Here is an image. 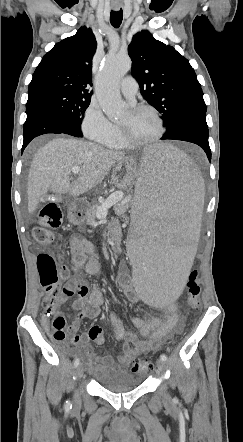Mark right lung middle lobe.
<instances>
[{
    "instance_id": "right-lung-middle-lobe-1",
    "label": "right lung middle lobe",
    "mask_w": 243,
    "mask_h": 442,
    "mask_svg": "<svg viewBox=\"0 0 243 442\" xmlns=\"http://www.w3.org/2000/svg\"><path fill=\"white\" fill-rule=\"evenodd\" d=\"M89 104L90 99L69 93L52 91L28 97L26 110L31 107L50 108L64 116L81 130L83 116Z\"/></svg>"
}]
</instances>
